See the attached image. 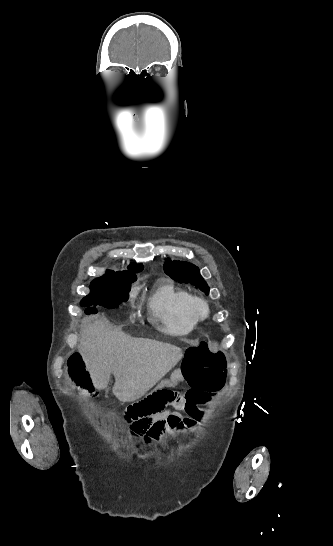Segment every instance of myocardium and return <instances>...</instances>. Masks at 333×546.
Returning a JSON list of instances; mask_svg holds the SVG:
<instances>
[{"label":"myocardium","instance_id":"obj_1","mask_svg":"<svg viewBox=\"0 0 333 546\" xmlns=\"http://www.w3.org/2000/svg\"><path fill=\"white\" fill-rule=\"evenodd\" d=\"M189 313L196 322L205 320L209 315V305L203 298L192 296L189 303Z\"/></svg>","mask_w":333,"mask_h":546}]
</instances>
